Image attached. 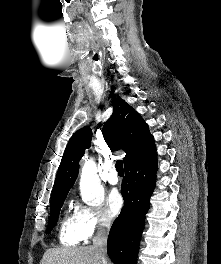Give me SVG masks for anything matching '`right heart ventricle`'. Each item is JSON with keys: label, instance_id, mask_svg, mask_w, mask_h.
I'll use <instances>...</instances> for the list:
<instances>
[{"label": "right heart ventricle", "instance_id": "obj_1", "mask_svg": "<svg viewBox=\"0 0 221 264\" xmlns=\"http://www.w3.org/2000/svg\"><path fill=\"white\" fill-rule=\"evenodd\" d=\"M59 240L66 246H75L84 240L78 230L74 214L67 212L63 217L59 230Z\"/></svg>", "mask_w": 221, "mask_h": 264}]
</instances>
